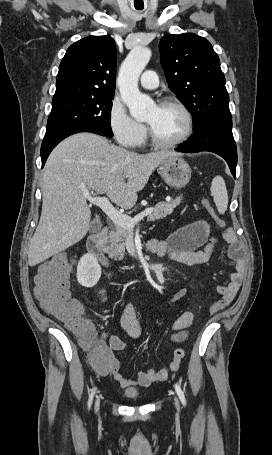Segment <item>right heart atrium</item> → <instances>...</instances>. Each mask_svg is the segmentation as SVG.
Wrapping results in <instances>:
<instances>
[{"label":"right heart atrium","instance_id":"d8ad5b80","mask_svg":"<svg viewBox=\"0 0 272 455\" xmlns=\"http://www.w3.org/2000/svg\"><path fill=\"white\" fill-rule=\"evenodd\" d=\"M108 124L117 143L125 148H135L145 138V126L133 119L125 105L117 98L110 104Z\"/></svg>","mask_w":272,"mask_h":455}]
</instances>
